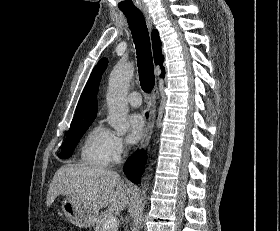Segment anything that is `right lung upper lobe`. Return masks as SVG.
<instances>
[{"mask_svg":"<svg viewBox=\"0 0 280 231\" xmlns=\"http://www.w3.org/2000/svg\"><path fill=\"white\" fill-rule=\"evenodd\" d=\"M152 44L154 60L156 64H159L162 69L161 76L164 77L163 55L161 53V41L159 34L156 30L152 31ZM106 59H101L94 67L91 76L81 94L78 102L74 118L71 123V127L81 125L86 122L93 121L97 113V91L101 79V75L106 68Z\"/></svg>","mask_w":280,"mask_h":231,"instance_id":"cb5924a9","label":"right lung upper lobe"}]
</instances>
